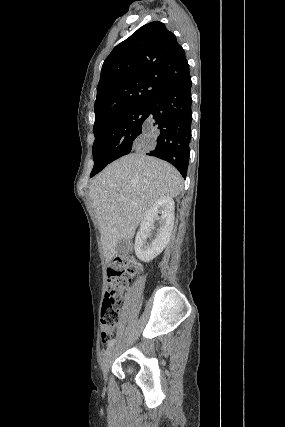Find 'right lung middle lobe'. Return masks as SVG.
<instances>
[{
    "label": "right lung middle lobe",
    "mask_w": 285,
    "mask_h": 427,
    "mask_svg": "<svg viewBox=\"0 0 285 427\" xmlns=\"http://www.w3.org/2000/svg\"><path fill=\"white\" fill-rule=\"evenodd\" d=\"M148 104H142L119 112L93 128L94 167L93 177L106 165L126 155L141 142Z\"/></svg>",
    "instance_id": "dd1d6c3e"
}]
</instances>
